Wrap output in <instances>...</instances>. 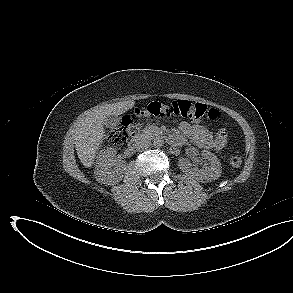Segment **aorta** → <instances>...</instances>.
Returning <instances> with one entry per match:
<instances>
[{"instance_id":"762f6f07","label":"aorta","mask_w":293,"mask_h":293,"mask_svg":"<svg viewBox=\"0 0 293 293\" xmlns=\"http://www.w3.org/2000/svg\"><path fill=\"white\" fill-rule=\"evenodd\" d=\"M164 144V140L162 138H156L154 139L153 145L155 147H161Z\"/></svg>"}]
</instances>
